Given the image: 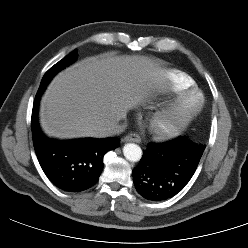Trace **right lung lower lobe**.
Listing matches in <instances>:
<instances>
[{"mask_svg":"<svg viewBox=\"0 0 248 248\" xmlns=\"http://www.w3.org/2000/svg\"><path fill=\"white\" fill-rule=\"evenodd\" d=\"M47 85H40L36 94L31 119L34 149L41 168L58 188L68 192L86 190L99 179L103 157L118 147L117 138H86L58 141L46 137L38 124L40 97Z\"/></svg>","mask_w":248,"mask_h":248,"instance_id":"right-lung-lower-lobe-1","label":"right lung lower lobe"}]
</instances>
